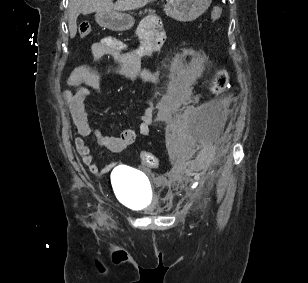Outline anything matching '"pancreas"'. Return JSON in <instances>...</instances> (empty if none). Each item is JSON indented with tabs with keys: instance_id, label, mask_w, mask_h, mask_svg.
Instances as JSON below:
<instances>
[{
	"instance_id": "1",
	"label": "pancreas",
	"mask_w": 308,
	"mask_h": 283,
	"mask_svg": "<svg viewBox=\"0 0 308 283\" xmlns=\"http://www.w3.org/2000/svg\"><path fill=\"white\" fill-rule=\"evenodd\" d=\"M146 12H148V13H149V15H151V16H152V15H155V11H154V10H152V9L145 10V13H146ZM139 14L141 15V14H142V12H140Z\"/></svg>"
}]
</instances>
